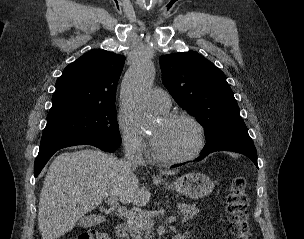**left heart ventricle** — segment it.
<instances>
[{
	"label": "left heart ventricle",
	"instance_id": "left-heart-ventricle-1",
	"mask_svg": "<svg viewBox=\"0 0 304 239\" xmlns=\"http://www.w3.org/2000/svg\"><path fill=\"white\" fill-rule=\"evenodd\" d=\"M155 150L166 157H179L189 153L196 144V130L185 120L165 122L163 119L152 131Z\"/></svg>",
	"mask_w": 304,
	"mask_h": 239
}]
</instances>
